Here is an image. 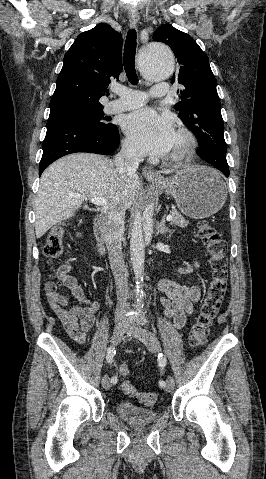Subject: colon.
I'll return each instance as SVG.
<instances>
[{
    "instance_id": "1",
    "label": "colon",
    "mask_w": 266,
    "mask_h": 479,
    "mask_svg": "<svg viewBox=\"0 0 266 479\" xmlns=\"http://www.w3.org/2000/svg\"><path fill=\"white\" fill-rule=\"evenodd\" d=\"M197 235L205 245L209 255L211 279L191 327L189 344L194 348L201 347L206 342L212 321L224 299L228 277L226 241L207 220H200L197 223ZM63 238L64 229L61 225L53 227L48 234L44 253L51 264L61 261ZM67 269L68 266L66 263L60 264L57 275L59 276L62 272L67 271ZM54 278L55 276L53 279ZM50 283L56 284L55 282ZM119 375L126 379L129 375L128 367L121 366L119 368ZM121 389L126 394L137 398L138 401L144 405H153L157 401V395L155 393L139 392L128 380H124L121 383Z\"/></svg>"
}]
</instances>
